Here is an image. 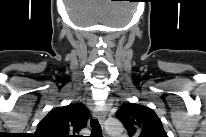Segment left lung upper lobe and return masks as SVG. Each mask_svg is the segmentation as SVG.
<instances>
[{
  "mask_svg": "<svg viewBox=\"0 0 206 137\" xmlns=\"http://www.w3.org/2000/svg\"><path fill=\"white\" fill-rule=\"evenodd\" d=\"M116 116L130 137H167L159 117L146 106L125 103L120 106Z\"/></svg>",
  "mask_w": 206,
  "mask_h": 137,
  "instance_id": "1",
  "label": "left lung upper lobe"
}]
</instances>
